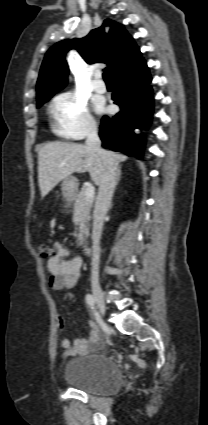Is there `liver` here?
<instances>
[{
  "label": "liver",
  "mask_w": 208,
  "mask_h": 425,
  "mask_svg": "<svg viewBox=\"0 0 208 425\" xmlns=\"http://www.w3.org/2000/svg\"><path fill=\"white\" fill-rule=\"evenodd\" d=\"M112 153V152H110ZM117 162L127 157L112 153ZM104 170L102 158L86 145L50 142L38 151V182L41 197H45L61 180L73 173L88 171L91 179L99 185Z\"/></svg>",
  "instance_id": "6515ba94"
}]
</instances>
